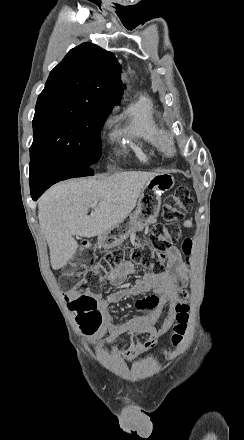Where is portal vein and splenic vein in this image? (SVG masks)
Here are the masks:
<instances>
[{"mask_svg":"<svg viewBox=\"0 0 244 440\" xmlns=\"http://www.w3.org/2000/svg\"><path fill=\"white\" fill-rule=\"evenodd\" d=\"M96 204H97V202H95V206H96ZM92 208H93V206H92Z\"/></svg>","mask_w":244,"mask_h":440,"instance_id":"portal-vein-and-splenic-vein-1","label":"portal vein and splenic vein"}]
</instances>
